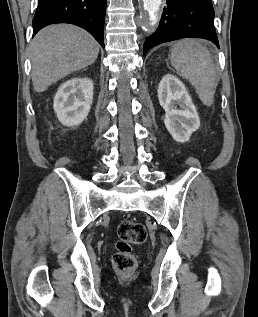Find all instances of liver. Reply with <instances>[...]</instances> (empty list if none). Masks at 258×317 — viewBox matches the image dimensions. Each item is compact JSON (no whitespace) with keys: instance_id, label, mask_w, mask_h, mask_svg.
<instances>
[{"instance_id":"liver-1","label":"liver","mask_w":258,"mask_h":317,"mask_svg":"<svg viewBox=\"0 0 258 317\" xmlns=\"http://www.w3.org/2000/svg\"><path fill=\"white\" fill-rule=\"evenodd\" d=\"M98 52V42L79 26L50 24L42 28L30 42L34 90L43 92L52 82L92 64Z\"/></svg>"}]
</instances>
